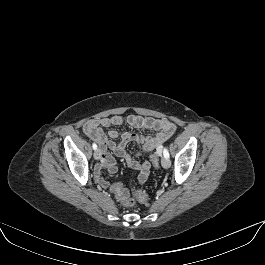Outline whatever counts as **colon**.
<instances>
[{
	"label": "colon",
	"mask_w": 265,
	"mask_h": 265,
	"mask_svg": "<svg viewBox=\"0 0 265 265\" xmlns=\"http://www.w3.org/2000/svg\"><path fill=\"white\" fill-rule=\"evenodd\" d=\"M160 149H156L150 156L151 162L155 168L159 167ZM112 192L115 194L116 199L124 206L131 207L135 201L130 197L129 192L120 183H114L111 186ZM135 198L144 205L149 204L148 195L140 190H134Z\"/></svg>",
	"instance_id": "colon-1"
}]
</instances>
